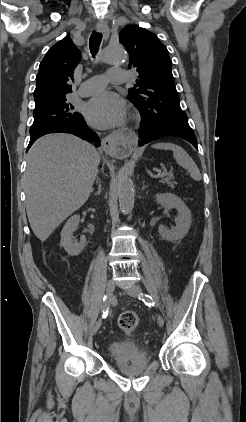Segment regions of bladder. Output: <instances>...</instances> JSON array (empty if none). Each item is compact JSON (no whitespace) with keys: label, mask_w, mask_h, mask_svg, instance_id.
Instances as JSON below:
<instances>
[{"label":"bladder","mask_w":246,"mask_h":422,"mask_svg":"<svg viewBox=\"0 0 246 422\" xmlns=\"http://www.w3.org/2000/svg\"><path fill=\"white\" fill-rule=\"evenodd\" d=\"M110 359L115 363L148 360L147 351L141 344L131 340H117L108 345Z\"/></svg>","instance_id":"1"}]
</instances>
